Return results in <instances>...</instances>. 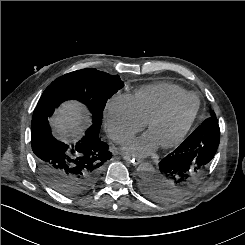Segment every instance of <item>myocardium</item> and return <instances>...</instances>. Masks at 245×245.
<instances>
[{"label": "myocardium", "mask_w": 245, "mask_h": 245, "mask_svg": "<svg viewBox=\"0 0 245 245\" xmlns=\"http://www.w3.org/2000/svg\"><path fill=\"white\" fill-rule=\"evenodd\" d=\"M189 99H195L196 100V108H195V111H194L192 117L190 118V120L187 122V124L183 127V129L180 131V133L174 139H172L171 141H169L167 143L160 144V147L162 149L174 148V147L178 146L179 144H181L183 142V140L186 138L187 134L189 133V131L193 127V125L197 119L199 110H200V101H199L198 97L194 94H188V95L183 96L179 99H176V100L170 102L164 108H162L156 114H154L146 122V127H147L148 131H150V129L152 128L153 125H155L159 121L168 117L178 106H180L181 104H183L184 102H186Z\"/></svg>", "instance_id": "1"}]
</instances>
